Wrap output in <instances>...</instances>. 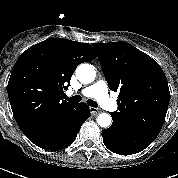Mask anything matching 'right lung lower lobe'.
<instances>
[{
  "label": "right lung lower lobe",
  "mask_w": 178,
  "mask_h": 178,
  "mask_svg": "<svg viewBox=\"0 0 178 178\" xmlns=\"http://www.w3.org/2000/svg\"><path fill=\"white\" fill-rule=\"evenodd\" d=\"M90 116L89 106L86 103H79L75 114L69 121L46 128L27 138L40 148L52 151L61 150L74 142L82 124Z\"/></svg>",
  "instance_id": "98d812e1"
}]
</instances>
